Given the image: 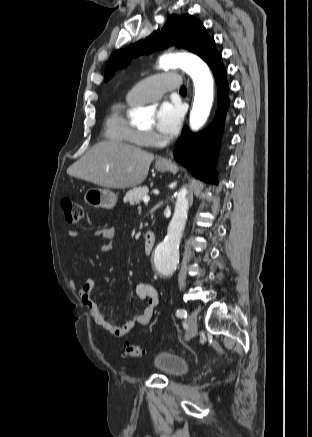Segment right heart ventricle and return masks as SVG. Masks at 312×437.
<instances>
[{
	"mask_svg": "<svg viewBox=\"0 0 312 437\" xmlns=\"http://www.w3.org/2000/svg\"><path fill=\"white\" fill-rule=\"evenodd\" d=\"M134 104L126 99L125 103L112 106L105 120V134L109 140L138 147L147 144L144 133L130 122L126 114L127 107Z\"/></svg>",
	"mask_w": 312,
	"mask_h": 437,
	"instance_id": "right-heart-ventricle-1",
	"label": "right heart ventricle"
}]
</instances>
